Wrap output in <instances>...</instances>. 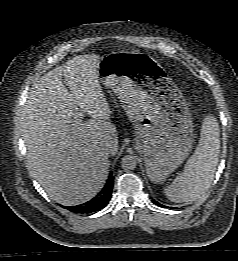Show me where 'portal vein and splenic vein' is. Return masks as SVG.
Masks as SVG:
<instances>
[{
    "instance_id": "18ae733b",
    "label": "portal vein and splenic vein",
    "mask_w": 238,
    "mask_h": 261,
    "mask_svg": "<svg viewBox=\"0 0 238 261\" xmlns=\"http://www.w3.org/2000/svg\"><path fill=\"white\" fill-rule=\"evenodd\" d=\"M75 118H76L77 121H81L82 118H83V113L82 112H77Z\"/></svg>"
}]
</instances>
